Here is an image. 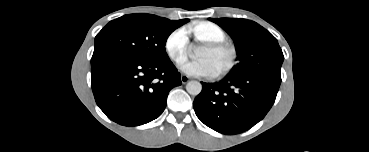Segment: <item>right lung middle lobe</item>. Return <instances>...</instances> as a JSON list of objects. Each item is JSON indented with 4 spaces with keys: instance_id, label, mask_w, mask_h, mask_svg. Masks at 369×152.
<instances>
[{
    "instance_id": "obj_1",
    "label": "right lung middle lobe",
    "mask_w": 369,
    "mask_h": 152,
    "mask_svg": "<svg viewBox=\"0 0 369 152\" xmlns=\"http://www.w3.org/2000/svg\"><path fill=\"white\" fill-rule=\"evenodd\" d=\"M176 28L163 18L145 13L112 20L95 37L91 65L111 57L166 59V40Z\"/></svg>"
}]
</instances>
